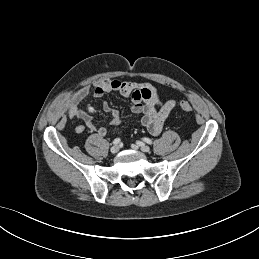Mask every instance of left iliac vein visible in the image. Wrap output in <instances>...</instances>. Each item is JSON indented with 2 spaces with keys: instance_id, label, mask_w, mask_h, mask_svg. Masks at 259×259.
Masks as SVG:
<instances>
[{
  "instance_id": "1",
  "label": "left iliac vein",
  "mask_w": 259,
  "mask_h": 259,
  "mask_svg": "<svg viewBox=\"0 0 259 259\" xmlns=\"http://www.w3.org/2000/svg\"><path fill=\"white\" fill-rule=\"evenodd\" d=\"M132 147L136 149V146H135V145H132ZM140 149H141V151H143V152H145V153H147V152L150 151V147L147 146V145H145V144H142V145L140 146Z\"/></svg>"
}]
</instances>
